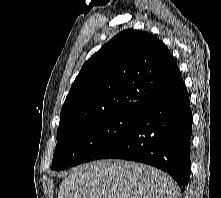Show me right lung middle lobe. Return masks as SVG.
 Instances as JSON below:
<instances>
[{"instance_id": "right-lung-middle-lobe-1", "label": "right lung middle lobe", "mask_w": 221, "mask_h": 198, "mask_svg": "<svg viewBox=\"0 0 221 198\" xmlns=\"http://www.w3.org/2000/svg\"><path fill=\"white\" fill-rule=\"evenodd\" d=\"M138 118L137 114H114L57 136L52 169L60 171L96 159L99 154L128 134Z\"/></svg>"}]
</instances>
